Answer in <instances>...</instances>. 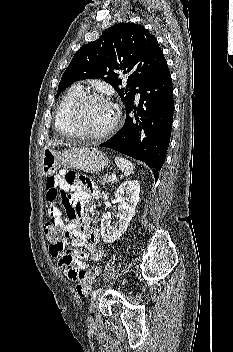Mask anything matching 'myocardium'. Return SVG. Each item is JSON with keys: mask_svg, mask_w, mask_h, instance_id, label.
<instances>
[{"mask_svg": "<svg viewBox=\"0 0 233 352\" xmlns=\"http://www.w3.org/2000/svg\"><path fill=\"white\" fill-rule=\"evenodd\" d=\"M99 99L108 102L114 111V117L111 124L100 132L82 131L77 124V115L80 107L88 100ZM120 119L119 108L111 102L107 97L96 92H84L76 98L68 112V124L75 137L82 139H101L110 135L117 127Z\"/></svg>", "mask_w": 233, "mask_h": 352, "instance_id": "myocardium-1", "label": "myocardium"}]
</instances>
